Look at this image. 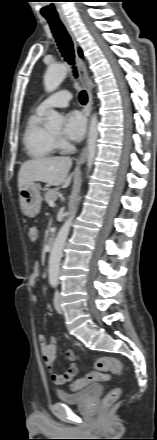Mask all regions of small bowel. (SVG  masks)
<instances>
[{"instance_id": "1", "label": "small bowel", "mask_w": 157, "mask_h": 440, "mask_svg": "<svg viewBox=\"0 0 157 440\" xmlns=\"http://www.w3.org/2000/svg\"><path fill=\"white\" fill-rule=\"evenodd\" d=\"M38 278L39 266L36 264L30 276V281L33 286L36 285ZM46 312L48 316L52 315V308L50 305L46 306ZM38 340L41 347L44 364L50 372L52 381L57 385H62L66 382L71 381L78 373V367L74 363L75 353L70 349L66 350L65 356L66 359L70 361V364L67 366L66 370L63 373H56L54 371V361L57 347V339L54 337L48 342L46 337L43 334H40Z\"/></svg>"}]
</instances>
